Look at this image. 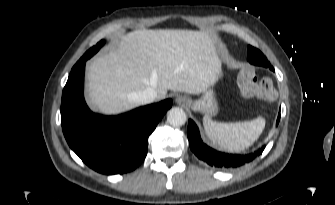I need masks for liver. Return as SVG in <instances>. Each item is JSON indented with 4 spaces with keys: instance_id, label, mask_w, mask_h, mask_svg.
Instances as JSON below:
<instances>
[{
    "instance_id": "obj_1",
    "label": "liver",
    "mask_w": 335,
    "mask_h": 205,
    "mask_svg": "<svg viewBox=\"0 0 335 205\" xmlns=\"http://www.w3.org/2000/svg\"><path fill=\"white\" fill-rule=\"evenodd\" d=\"M221 68L216 40L193 30H136L123 35L115 48L94 58L87 72L92 108L118 114L139 105L134 94L146 88L200 94L216 82Z\"/></svg>"
}]
</instances>
